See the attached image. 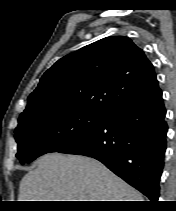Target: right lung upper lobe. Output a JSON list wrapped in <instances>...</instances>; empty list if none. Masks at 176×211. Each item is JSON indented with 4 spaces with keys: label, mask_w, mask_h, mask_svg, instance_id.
I'll return each mask as SVG.
<instances>
[{
    "label": "right lung upper lobe",
    "mask_w": 176,
    "mask_h": 211,
    "mask_svg": "<svg viewBox=\"0 0 176 211\" xmlns=\"http://www.w3.org/2000/svg\"><path fill=\"white\" fill-rule=\"evenodd\" d=\"M158 90L153 65L144 52L127 37H107L68 54L48 69L19 118L51 108L109 114Z\"/></svg>",
    "instance_id": "right-lung-upper-lobe-1"
}]
</instances>
